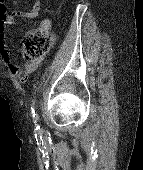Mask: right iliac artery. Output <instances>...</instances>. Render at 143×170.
<instances>
[{
	"label": "right iliac artery",
	"mask_w": 143,
	"mask_h": 170,
	"mask_svg": "<svg viewBox=\"0 0 143 170\" xmlns=\"http://www.w3.org/2000/svg\"><path fill=\"white\" fill-rule=\"evenodd\" d=\"M31 110H32L33 117H35L36 114H35L34 108L31 107Z\"/></svg>",
	"instance_id": "right-iliac-artery-1"
}]
</instances>
